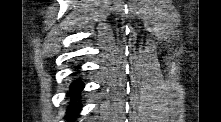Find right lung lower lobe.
Wrapping results in <instances>:
<instances>
[{
    "label": "right lung lower lobe",
    "instance_id": "98d812e1",
    "mask_svg": "<svg viewBox=\"0 0 221 122\" xmlns=\"http://www.w3.org/2000/svg\"><path fill=\"white\" fill-rule=\"evenodd\" d=\"M83 87L84 85L80 80H76L70 85L69 96L71 97L73 104H71V106L68 108V117L74 118L81 109V106L75 104L74 102L79 98V92L83 89Z\"/></svg>",
    "mask_w": 221,
    "mask_h": 122
}]
</instances>
